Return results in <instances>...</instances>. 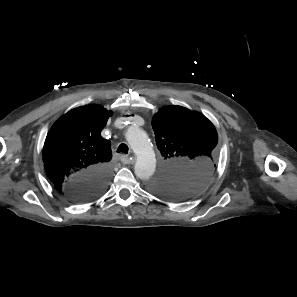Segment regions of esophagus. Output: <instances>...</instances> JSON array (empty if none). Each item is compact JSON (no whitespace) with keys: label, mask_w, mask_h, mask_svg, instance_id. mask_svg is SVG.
I'll return each mask as SVG.
<instances>
[{"label":"esophagus","mask_w":297,"mask_h":297,"mask_svg":"<svg viewBox=\"0 0 297 297\" xmlns=\"http://www.w3.org/2000/svg\"><path fill=\"white\" fill-rule=\"evenodd\" d=\"M120 159L123 164H131L134 162V159L128 155H121Z\"/></svg>","instance_id":"1"}]
</instances>
